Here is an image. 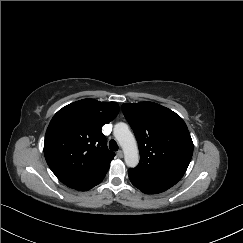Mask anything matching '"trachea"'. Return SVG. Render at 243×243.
I'll return each mask as SVG.
<instances>
[{"label": "trachea", "instance_id": "3493384b", "mask_svg": "<svg viewBox=\"0 0 243 243\" xmlns=\"http://www.w3.org/2000/svg\"><path fill=\"white\" fill-rule=\"evenodd\" d=\"M110 145H109V148L112 150V151H117L119 149L117 143L115 140H110Z\"/></svg>", "mask_w": 243, "mask_h": 243}]
</instances>
